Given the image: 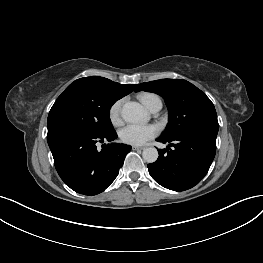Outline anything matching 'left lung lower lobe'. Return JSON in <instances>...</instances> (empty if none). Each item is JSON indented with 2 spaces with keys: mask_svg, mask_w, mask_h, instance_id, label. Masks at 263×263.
<instances>
[{
  "mask_svg": "<svg viewBox=\"0 0 263 263\" xmlns=\"http://www.w3.org/2000/svg\"><path fill=\"white\" fill-rule=\"evenodd\" d=\"M216 134L186 133L172 139L159 137L173 149H160L156 162L148 164L149 174L161 186L184 191L207 174L216 152Z\"/></svg>",
  "mask_w": 263,
  "mask_h": 263,
  "instance_id": "left-lung-lower-lobe-1",
  "label": "left lung lower lobe"
}]
</instances>
